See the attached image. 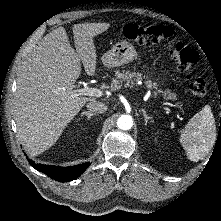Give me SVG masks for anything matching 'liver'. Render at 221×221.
Listing matches in <instances>:
<instances>
[{
	"instance_id": "1",
	"label": "liver",
	"mask_w": 221,
	"mask_h": 221,
	"mask_svg": "<svg viewBox=\"0 0 221 221\" xmlns=\"http://www.w3.org/2000/svg\"><path fill=\"white\" fill-rule=\"evenodd\" d=\"M109 23H82L72 27L76 50L70 46L64 27L48 33L20 68L14 97L19 137L28 153L37 155L51 147L73 120L87 97H72L81 73H96L97 54L93 38Z\"/></svg>"
}]
</instances>
